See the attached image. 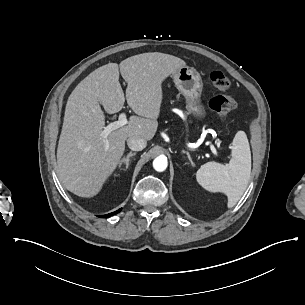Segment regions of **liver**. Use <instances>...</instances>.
Returning a JSON list of instances; mask_svg holds the SVG:
<instances>
[{
    "instance_id": "6515ba94",
    "label": "liver",
    "mask_w": 305,
    "mask_h": 305,
    "mask_svg": "<svg viewBox=\"0 0 305 305\" xmlns=\"http://www.w3.org/2000/svg\"><path fill=\"white\" fill-rule=\"evenodd\" d=\"M187 67L180 58L143 53L109 63L87 76L69 97L57 149V176L80 197L97 196L116 171L129 137L150 141L158 129L163 83ZM119 70L127 83L131 116L126 126L103 135L106 114L119 112L125 102ZM105 111V113H104Z\"/></svg>"
}]
</instances>
